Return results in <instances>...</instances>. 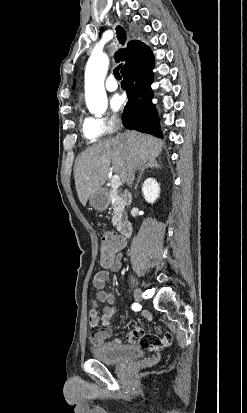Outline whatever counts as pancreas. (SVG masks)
<instances>
[{
    "instance_id": "pancreas-1",
    "label": "pancreas",
    "mask_w": 247,
    "mask_h": 413,
    "mask_svg": "<svg viewBox=\"0 0 247 413\" xmlns=\"http://www.w3.org/2000/svg\"><path fill=\"white\" fill-rule=\"evenodd\" d=\"M108 194H109L110 202L111 204H113L114 215H113L112 223H113V227H116V225H119V221L122 217V213L121 211H119V207H118L119 194L117 190H113V188H110Z\"/></svg>"
}]
</instances>
